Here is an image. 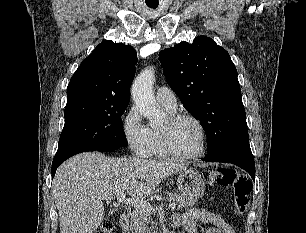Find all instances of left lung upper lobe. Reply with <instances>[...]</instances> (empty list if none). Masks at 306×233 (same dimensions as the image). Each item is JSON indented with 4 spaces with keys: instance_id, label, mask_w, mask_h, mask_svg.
Segmentation results:
<instances>
[{
    "instance_id": "obj_1",
    "label": "left lung upper lobe",
    "mask_w": 306,
    "mask_h": 233,
    "mask_svg": "<svg viewBox=\"0 0 306 233\" xmlns=\"http://www.w3.org/2000/svg\"><path fill=\"white\" fill-rule=\"evenodd\" d=\"M159 59L169 86L201 121L209 154L249 143L237 70L224 48L199 36L162 50Z\"/></svg>"
}]
</instances>
